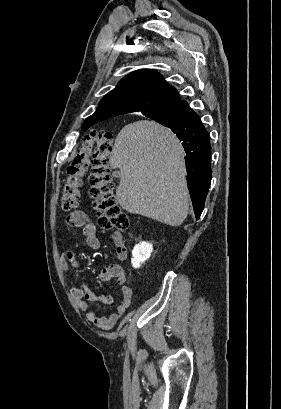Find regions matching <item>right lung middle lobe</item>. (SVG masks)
Masks as SVG:
<instances>
[{
  "label": "right lung middle lobe",
  "mask_w": 281,
  "mask_h": 409,
  "mask_svg": "<svg viewBox=\"0 0 281 409\" xmlns=\"http://www.w3.org/2000/svg\"><path fill=\"white\" fill-rule=\"evenodd\" d=\"M152 120H155L156 122L162 124L163 126L168 127L169 125L178 121V118H176L175 116H167V117L153 118Z\"/></svg>",
  "instance_id": "1"
}]
</instances>
